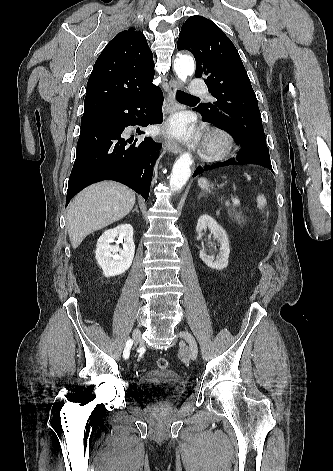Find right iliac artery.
<instances>
[{
  "label": "right iliac artery",
  "instance_id": "82829eb1",
  "mask_svg": "<svg viewBox=\"0 0 333 471\" xmlns=\"http://www.w3.org/2000/svg\"><path fill=\"white\" fill-rule=\"evenodd\" d=\"M133 342L131 339H129L127 342H126V346H125V349H124V352H123V357L125 359H128L129 358V355H130V349H131V346H132Z\"/></svg>",
  "mask_w": 333,
  "mask_h": 471
}]
</instances>
